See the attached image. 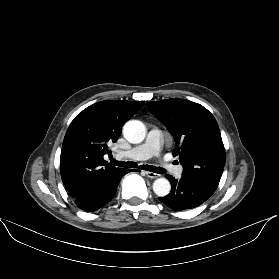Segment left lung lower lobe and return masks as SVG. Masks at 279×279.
Returning a JSON list of instances; mask_svg holds the SVG:
<instances>
[{"label":"left lung lower lobe","instance_id":"0a47b994","mask_svg":"<svg viewBox=\"0 0 279 279\" xmlns=\"http://www.w3.org/2000/svg\"><path fill=\"white\" fill-rule=\"evenodd\" d=\"M166 178L172 185L171 193L159 200L168 207L180 211L195 208L204 203L214 191L198 181L182 176L179 180L170 175Z\"/></svg>","mask_w":279,"mask_h":279}]
</instances>
